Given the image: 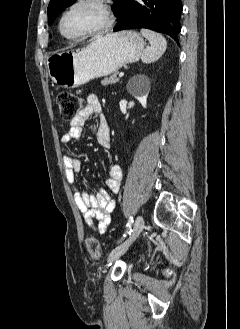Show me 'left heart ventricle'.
I'll return each instance as SVG.
<instances>
[{"instance_id": "b2bd125f", "label": "left heart ventricle", "mask_w": 240, "mask_h": 329, "mask_svg": "<svg viewBox=\"0 0 240 329\" xmlns=\"http://www.w3.org/2000/svg\"><path fill=\"white\" fill-rule=\"evenodd\" d=\"M102 10L93 4L75 7L63 20L62 30L66 35H75L101 24Z\"/></svg>"}]
</instances>
